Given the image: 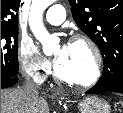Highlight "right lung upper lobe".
Instances as JSON below:
<instances>
[{
    "label": "right lung upper lobe",
    "instance_id": "1",
    "mask_svg": "<svg viewBox=\"0 0 123 113\" xmlns=\"http://www.w3.org/2000/svg\"><path fill=\"white\" fill-rule=\"evenodd\" d=\"M21 0H1V29H18V17Z\"/></svg>",
    "mask_w": 123,
    "mask_h": 113
}]
</instances>
